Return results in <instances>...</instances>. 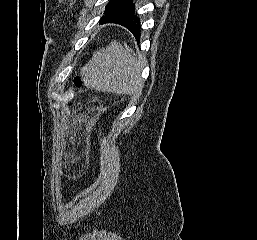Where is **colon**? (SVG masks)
I'll return each instance as SVG.
<instances>
[{"label":"colon","instance_id":"colon-1","mask_svg":"<svg viewBox=\"0 0 257 240\" xmlns=\"http://www.w3.org/2000/svg\"><path fill=\"white\" fill-rule=\"evenodd\" d=\"M83 84L82 78L80 76H75L73 79V85L77 88H80Z\"/></svg>","mask_w":257,"mask_h":240}]
</instances>
